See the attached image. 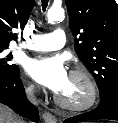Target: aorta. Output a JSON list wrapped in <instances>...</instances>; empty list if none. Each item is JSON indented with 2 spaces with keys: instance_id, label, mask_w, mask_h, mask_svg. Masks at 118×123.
Masks as SVG:
<instances>
[{
  "instance_id": "762f6f07",
  "label": "aorta",
  "mask_w": 118,
  "mask_h": 123,
  "mask_svg": "<svg viewBox=\"0 0 118 123\" xmlns=\"http://www.w3.org/2000/svg\"><path fill=\"white\" fill-rule=\"evenodd\" d=\"M64 18V9L52 6L47 12V19L50 23L59 21Z\"/></svg>"
}]
</instances>
